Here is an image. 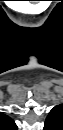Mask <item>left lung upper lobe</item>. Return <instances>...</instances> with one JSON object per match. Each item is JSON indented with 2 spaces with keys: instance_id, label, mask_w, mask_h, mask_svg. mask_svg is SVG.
Segmentation results:
<instances>
[{
  "instance_id": "obj_1",
  "label": "left lung upper lobe",
  "mask_w": 63,
  "mask_h": 130,
  "mask_svg": "<svg viewBox=\"0 0 63 130\" xmlns=\"http://www.w3.org/2000/svg\"><path fill=\"white\" fill-rule=\"evenodd\" d=\"M44 130H63V105L55 106L49 112Z\"/></svg>"
}]
</instances>
